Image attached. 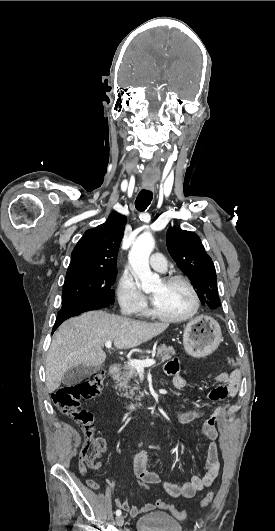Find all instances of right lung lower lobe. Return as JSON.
Here are the masks:
<instances>
[{"instance_id": "1", "label": "right lung lower lobe", "mask_w": 275, "mask_h": 531, "mask_svg": "<svg viewBox=\"0 0 275 531\" xmlns=\"http://www.w3.org/2000/svg\"><path fill=\"white\" fill-rule=\"evenodd\" d=\"M106 306L90 303L82 300H67L62 302V307L58 312L55 324L53 326L52 333L58 328V326L66 319L80 315L81 313L97 310Z\"/></svg>"}]
</instances>
